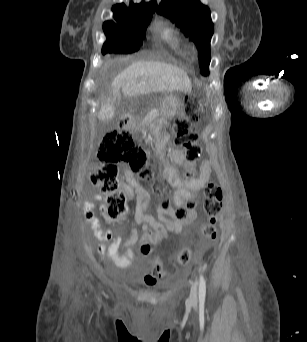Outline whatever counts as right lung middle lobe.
Masks as SVG:
<instances>
[{"mask_svg": "<svg viewBox=\"0 0 307 342\" xmlns=\"http://www.w3.org/2000/svg\"><path fill=\"white\" fill-rule=\"evenodd\" d=\"M145 33V32H144ZM107 41L102 47V53H132L139 49L141 41L144 39L145 34L142 36L135 35H110L106 34Z\"/></svg>", "mask_w": 307, "mask_h": 342, "instance_id": "right-lung-middle-lobe-1", "label": "right lung middle lobe"}]
</instances>
